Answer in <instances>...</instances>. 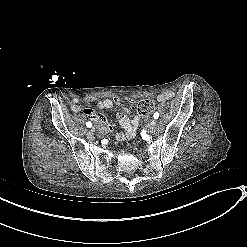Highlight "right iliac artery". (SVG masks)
Masks as SVG:
<instances>
[{
	"mask_svg": "<svg viewBox=\"0 0 247 247\" xmlns=\"http://www.w3.org/2000/svg\"><path fill=\"white\" fill-rule=\"evenodd\" d=\"M86 126L90 128V127L92 126V123H91L90 121H88V122L86 123Z\"/></svg>",
	"mask_w": 247,
	"mask_h": 247,
	"instance_id": "right-iliac-artery-1",
	"label": "right iliac artery"
}]
</instances>
